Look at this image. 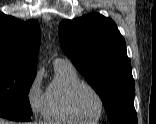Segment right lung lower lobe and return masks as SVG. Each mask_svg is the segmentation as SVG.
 <instances>
[{
  "mask_svg": "<svg viewBox=\"0 0 156 124\" xmlns=\"http://www.w3.org/2000/svg\"><path fill=\"white\" fill-rule=\"evenodd\" d=\"M0 117L13 121H29L31 119L30 116L7 110H0Z\"/></svg>",
  "mask_w": 156,
  "mask_h": 124,
  "instance_id": "98d812e1",
  "label": "right lung lower lobe"
}]
</instances>
